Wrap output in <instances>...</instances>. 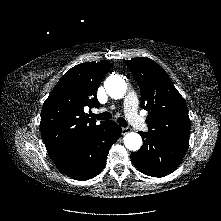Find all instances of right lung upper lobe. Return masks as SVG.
Returning a JSON list of instances; mask_svg holds the SVG:
<instances>
[{"mask_svg": "<svg viewBox=\"0 0 221 221\" xmlns=\"http://www.w3.org/2000/svg\"><path fill=\"white\" fill-rule=\"evenodd\" d=\"M112 65L108 61L82 63L58 81L41 111V133L53 160L71 153L106 122L99 125L84 107H99L96 91Z\"/></svg>", "mask_w": 221, "mask_h": 221, "instance_id": "right-lung-upper-lobe-1", "label": "right lung upper lobe"}]
</instances>
